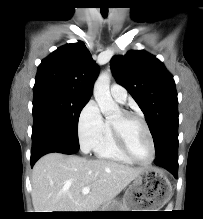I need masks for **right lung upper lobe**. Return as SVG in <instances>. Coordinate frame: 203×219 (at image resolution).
I'll use <instances>...</instances> for the list:
<instances>
[{"label":"right lung upper lobe","mask_w":203,"mask_h":219,"mask_svg":"<svg viewBox=\"0 0 203 219\" xmlns=\"http://www.w3.org/2000/svg\"><path fill=\"white\" fill-rule=\"evenodd\" d=\"M98 76V66L83 42L52 52L38 66L34 88L53 87L88 98Z\"/></svg>","instance_id":"cb5924a9"}]
</instances>
